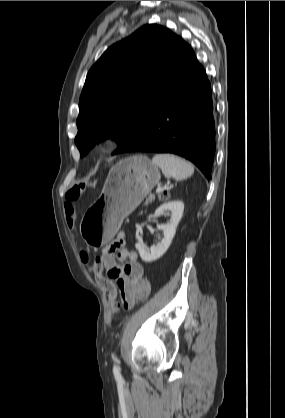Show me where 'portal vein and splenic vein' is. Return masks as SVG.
<instances>
[{
  "mask_svg": "<svg viewBox=\"0 0 285 418\" xmlns=\"http://www.w3.org/2000/svg\"><path fill=\"white\" fill-rule=\"evenodd\" d=\"M162 189L163 188L161 186H158L157 189H156V193H160L162 191Z\"/></svg>",
  "mask_w": 285,
  "mask_h": 418,
  "instance_id": "obj_1",
  "label": "portal vein and splenic vein"
}]
</instances>
